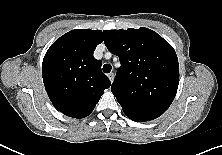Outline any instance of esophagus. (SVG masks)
Returning <instances> with one entry per match:
<instances>
[{
	"label": "esophagus",
	"instance_id": "34e87169",
	"mask_svg": "<svg viewBox=\"0 0 222 155\" xmlns=\"http://www.w3.org/2000/svg\"><path fill=\"white\" fill-rule=\"evenodd\" d=\"M108 78H109V80L111 81V83L113 82V80H114V74L111 72V73H109L108 74Z\"/></svg>",
	"mask_w": 222,
	"mask_h": 155
}]
</instances>
